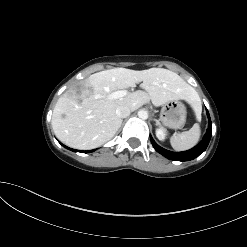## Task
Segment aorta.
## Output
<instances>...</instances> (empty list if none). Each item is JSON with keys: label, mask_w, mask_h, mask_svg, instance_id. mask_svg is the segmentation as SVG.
I'll return each instance as SVG.
<instances>
[{"label": "aorta", "mask_w": 247, "mask_h": 247, "mask_svg": "<svg viewBox=\"0 0 247 247\" xmlns=\"http://www.w3.org/2000/svg\"><path fill=\"white\" fill-rule=\"evenodd\" d=\"M138 117H139L140 119L145 120V119L148 118V112H147L146 110L142 109V110H140V111L138 112Z\"/></svg>", "instance_id": "aorta-1"}]
</instances>
